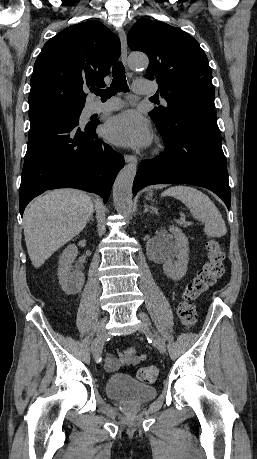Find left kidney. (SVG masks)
<instances>
[{"label": "left kidney", "mask_w": 257, "mask_h": 459, "mask_svg": "<svg viewBox=\"0 0 257 459\" xmlns=\"http://www.w3.org/2000/svg\"><path fill=\"white\" fill-rule=\"evenodd\" d=\"M169 231L175 241H164L161 245V257L165 275L174 281L182 279L186 272L189 259V242L185 234L178 227L170 226ZM166 233H163V236ZM176 258L174 262L172 259Z\"/></svg>", "instance_id": "obj_1"}]
</instances>
